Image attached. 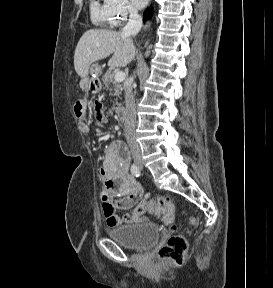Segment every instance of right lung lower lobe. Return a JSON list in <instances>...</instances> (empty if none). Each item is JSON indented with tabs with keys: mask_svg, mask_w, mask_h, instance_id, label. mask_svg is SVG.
Instances as JSON below:
<instances>
[{
	"mask_svg": "<svg viewBox=\"0 0 273 288\" xmlns=\"http://www.w3.org/2000/svg\"><path fill=\"white\" fill-rule=\"evenodd\" d=\"M151 14H152L151 8L146 9V11L144 12V16H143L144 21L146 19H149L151 17Z\"/></svg>",
	"mask_w": 273,
	"mask_h": 288,
	"instance_id": "obj_1",
	"label": "right lung lower lobe"
}]
</instances>
